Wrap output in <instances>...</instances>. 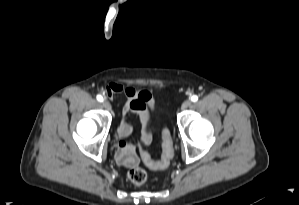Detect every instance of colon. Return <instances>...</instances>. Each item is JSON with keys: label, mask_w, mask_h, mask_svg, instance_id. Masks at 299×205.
I'll return each mask as SVG.
<instances>
[{"label": "colon", "mask_w": 299, "mask_h": 205, "mask_svg": "<svg viewBox=\"0 0 299 205\" xmlns=\"http://www.w3.org/2000/svg\"><path fill=\"white\" fill-rule=\"evenodd\" d=\"M162 138V154L160 160L152 159L148 152L145 150V145L143 143L139 145L141 157L145 164L151 169H164L170 164L173 158V143L171 140L169 130L167 128L163 130ZM128 177L130 181L137 186H141L145 184L147 181V173L141 167L132 168L128 173Z\"/></svg>", "instance_id": "obj_1"}]
</instances>
